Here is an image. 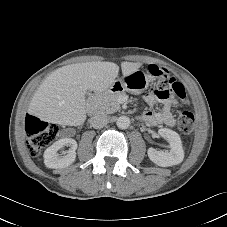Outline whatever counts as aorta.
I'll return each mask as SVG.
<instances>
[{"instance_id": "obj_1", "label": "aorta", "mask_w": 227, "mask_h": 227, "mask_svg": "<svg viewBox=\"0 0 227 227\" xmlns=\"http://www.w3.org/2000/svg\"><path fill=\"white\" fill-rule=\"evenodd\" d=\"M116 125L120 129H127L130 126V119L127 116H120L117 118Z\"/></svg>"}]
</instances>
